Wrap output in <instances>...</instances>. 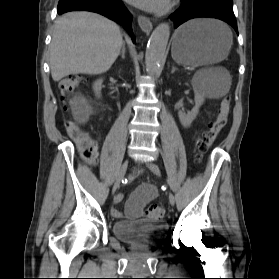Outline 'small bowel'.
I'll list each match as a JSON object with an SVG mask.
<instances>
[{"instance_id":"c3829d8e","label":"small bowel","mask_w":279,"mask_h":279,"mask_svg":"<svg viewBox=\"0 0 279 279\" xmlns=\"http://www.w3.org/2000/svg\"><path fill=\"white\" fill-rule=\"evenodd\" d=\"M72 109L75 117L80 121H85L90 112L91 108L84 98H78L72 102ZM156 196V189L151 184H142L130 195L125 206V215L128 218H138L142 214L144 206L153 200ZM120 197L116 198L118 202ZM111 213L116 218H121L123 213L116 207L112 208Z\"/></svg>"}]
</instances>
